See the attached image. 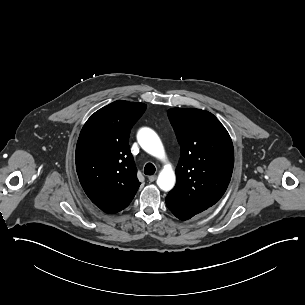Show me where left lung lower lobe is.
I'll list each match as a JSON object with an SVG mask.
<instances>
[{
	"label": "left lung lower lobe",
	"instance_id": "1",
	"mask_svg": "<svg viewBox=\"0 0 305 305\" xmlns=\"http://www.w3.org/2000/svg\"><path fill=\"white\" fill-rule=\"evenodd\" d=\"M166 204H167V207L169 208V210L177 218H179L180 220H183V221L188 220V219L192 218L193 216H195L196 214L201 212L198 210L186 208L169 197H166Z\"/></svg>",
	"mask_w": 305,
	"mask_h": 305
}]
</instances>
